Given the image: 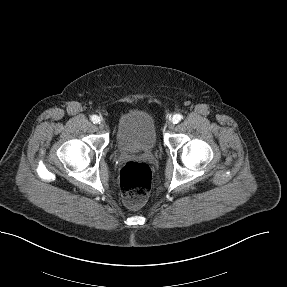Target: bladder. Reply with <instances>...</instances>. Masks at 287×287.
I'll return each instance as SVG.
<instances>
[{"mask_svg":"<svg viewBox=\"0 0 287 287\" xmlns=\"http://www.w3.org/2000/svg\"><path fill=\"white\" fill-rule=\"evenodd\" d=\"M121 151H150L156 146L154 119L144 110L134 109L121 115L115 138Z\"/></svg>","mask_w":287,"mask_h":287,"instance_id":"31cf9c89","label":"bladder"}]
</instances>
